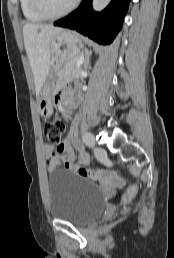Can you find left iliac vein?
Masks as SVG:
<instances>
[{"instance_id": "left-iliac-vein-1", "label": "left iliac vein", "mask_w": 174, "mask_h": 258, "mask_svg": "<svg viewBox=\"0 0 174 258\" xmlns=\"http://www.w3.org/2000/svg\"><path fill=\"white\" fill-rule=\"evenodd\" d=\"M94 153H95V156H96L97 158L103 159V158L106 157V151H105V149L102 148V147H96V148L94 149Z\"/></svg>"}]
</instances>
